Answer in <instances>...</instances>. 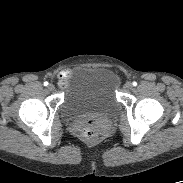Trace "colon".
Wrapping results in <instances>:
<instances>
[{"label": "colon", "instance_id": "5ec220e1", "mask_svg": "<svg viewBox=\"0 0 183 183\" xmlns=\"http://www.w3.org/2000/svg\"><path fill=\"white\" fill-rule=\"evenodd\" d=\"M79 132L80 136L88 142H94L98 138V130L92 121L83 124Z\"/></svg>", "mask_w": 183, "mask_h": 183}]
</instances>
